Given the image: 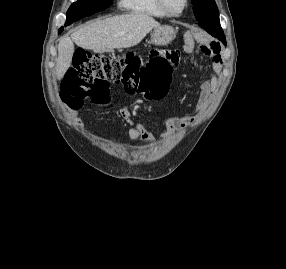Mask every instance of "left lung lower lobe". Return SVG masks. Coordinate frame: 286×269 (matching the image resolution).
<instances>
[{"label":"left lung lower lobe","instance_id":"0a47b994","mask_svg":"<svg viewBox=\"0 0 286 269\" xmlns=\"http://www.w3.org/2000/svg\"><path fill=\"white\" fill-rule=\"evenodd\" d=\"M224 44H226V41H222Z\"/></svg>","mask_w":286,"mask_h":269}]
</instances>
